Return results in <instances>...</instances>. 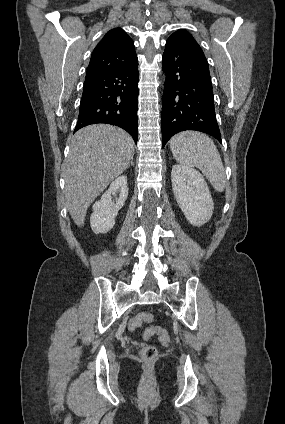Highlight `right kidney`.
Masks as SVG:
<instances>
[{
    "label": "right kidney",
    "instance_id": "ca27d5eb",
    "mask_svg": "<svg viewBox=\"0 0 285 424\" xmlns=\"http://www.w3.org/2000/svg\"><path fill=\"white\" fill-rule=\"evenodd\" d=\"M119 192L116 202L112 201V194ZM128 196L127 177L122 175L115 179L109 189L103 193L101 199L93 205L90 216L91 229L95 234H105L115 225V217L124 206Z\"/></svg>",
    "mask_w": 285,
    "mask_h": 424
}]
</instances>
